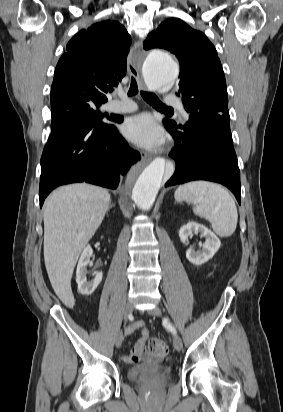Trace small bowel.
<instances>
[{"label": "small bowel", "instance_id": "1", "mask_svg": "<svg viewBox=\"0 0 283 412\" xmlns=\"http://www.w3.org/2000/svg\"><path fill=\"white\" fill-rule=\"evenodd\" d=\"M137 329H141L142 337L138 339L131 352L124 356L123 361L125 363H136L147 357L146 353V341L150 335L149 330L144 327V321L138 320L129 327L126 328V334H132Z\"/></svg>", "mask_w": 283, "mask_h": 412}]
</instances>
